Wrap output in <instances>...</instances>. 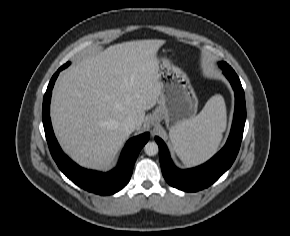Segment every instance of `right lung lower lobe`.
I'll return each mask as SVG.
<instances>
[{
    "label": "right lung lower lobe",
    "mask_w": 290,
    "mask_h": 236,
    "mask_svg": "<svg viewBox=\"0 0 290 236\" xmlns=\"http://www.w3.org/2000/svg\"><path fill=\"white\" fill-rule=\"evenodd\" d=\"M62 69L63 66L52 76L43 98L42 119L50 153L59 169L79 187L99 195L114 194L129 182L137 156L150 135L144 133L130 139L122 151L117 167L110 172L101 173L79 167L63 153L51 126L49 112L52 88Z\"/></svg>",
    "instance_id": "right-lung-lower-lobe-1"
}]
</instances>
